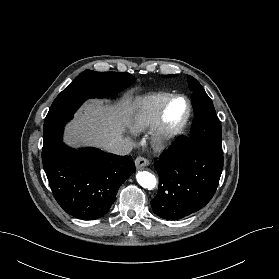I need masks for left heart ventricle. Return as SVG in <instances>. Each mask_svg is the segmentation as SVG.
I'll return each mask as SVG.
<instances>
[{"label":"left heart ventricle","mask_w":279,"mask_h":279,"mask_svg":"<svg viewBox=\"0 0 279 279\" xmlns=\"http://www.w3.org/2000/svg\"><path fill=\"white\" fill-rule=\"evenodd\" d=\"M187 110L186 103L183 99L174 100L168 107L165 115L167 126L174 127L178 125L185 117Z\"/></svg>","instance_id":"b2bd125f"}]
</instances>
